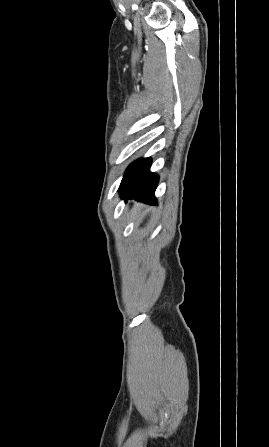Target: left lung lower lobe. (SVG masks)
Returning a JSON list of instances; mask_svg holds the SVG:
<instances>
[{"label":"left lung lower lobe","mask_w":269,"mask_h":447,"mask_svg":"<svg viewBox=\"0 0 269 447\" xmlns=\"http://www.w3.org/2000/svg\"><path fill=\"white\" fill-rule=\"evenodd\" d=\"M151 159H139L133 162L126 170L119 187L121 198L135 199L144 203L155 205L154 192L158 184V176L149 172Z\"/></svg>","instance_id":"left-lung-lower-lobe-1"}]
</instances>
